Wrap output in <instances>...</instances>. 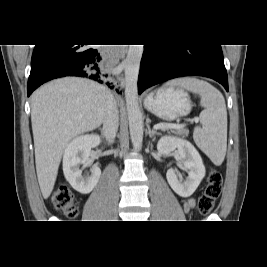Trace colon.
Segmentation results:
<instances>
[{
  "instance_id": "5ec220e1",
  "label": "colon",
  "mask_w": 267,
  "mask_h": 267,
  "mask_svg": "<svg viewBox=\"0 0 267 267\" xmlns=\"http://www.w3.org/2000/svg\"><path fill=\"white\" fill-rule=\"evenodd\" d=\"M223 188L222 174L217 170H210L207 177L206 187L198 200V211L202 215L209 214ZM55 208L69 218H74L78 214L74 194L66 184H60L52 198Z\"/></svg>"
}]
</instances>
